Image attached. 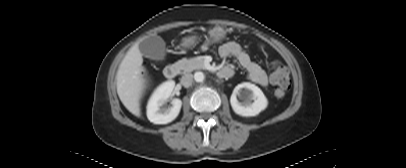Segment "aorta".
Wrapping results in <instances>:
<instances>
[{
    "label": "aorta",
    "mask_w": 406,
    "mask_h": 168,
    "mask_svg": "<svg viewBox=\"0 0 406 168\" xmlns=\"http://www.w3.org/2000/svg\"><path fill=\"white\" fill-rule=\"evenodd\" d=\"M204 78H205V76H204L203 72L198 71L194 74V79L196 82H203Z\"/></svg>",
    "instance_id": "obj_1"
}]
</instances>
